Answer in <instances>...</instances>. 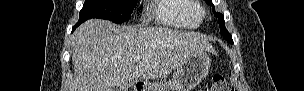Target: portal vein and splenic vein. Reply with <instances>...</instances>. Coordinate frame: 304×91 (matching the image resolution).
Segmentation results:
<instances>
[{
	"instance_id": "18ae733b",
	"label": "portal vein and splenic vein",
	"mask_w": 304,
	"mask_h": 91,
	"mask_svg": "<svg viewBox=\"0 0 304 91\" xmlns=\"http://www.w3.org/2000/svg\"><path fill=\"white\" fill-rule=\"evenodd\" d=\"M140 57L139 56H136L135 58H134V61H136V62H138V61H140Z\"/></svg>"
}]
</instances>
